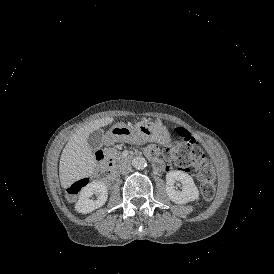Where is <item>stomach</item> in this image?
Returning a JSON list of instances; mask_svg holds the SVG:
<instances>
[{
  "label": "stomach",
  "mask_w": 274,
  "mask_h": 274,
  "mask_svg": "<svg viewBox=\"0 0 274 274\" xmlns=\"http://www.w3.org/2000/svg\"><path fill=\"white\" fill-rule=\"evenodd\" d=\"M107 143L113 142H158L164 146L171 143L170 135L167 129L159 123L143 119L137 122L134 127L124 123L113 125L106 133Z\"/></svg>",
  "instance_id": "obj_1"
}]
</instances>
